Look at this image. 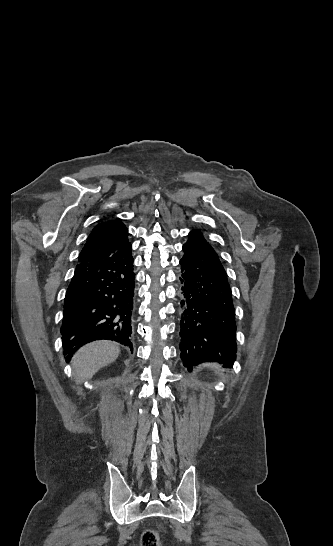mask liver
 Returning <instances> with one entry per match:
<instances>
[{"label":"liver","mask_w":333,"mask_h":546,"mask_svg":"<svg viewBox=\"0 0 333 546\" xmlns=\"http://www.w3.org/2000/svg\"><path fill=\"white\" fill-rule=\"evenodd\" d=\"M120 349L109 341H96L83 346L72 358L77 383L91 379L95 373L119 356Z\"/></svg>","instance_id":"1"}]
</instances>
